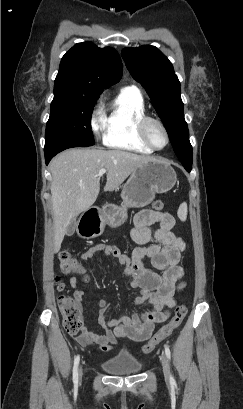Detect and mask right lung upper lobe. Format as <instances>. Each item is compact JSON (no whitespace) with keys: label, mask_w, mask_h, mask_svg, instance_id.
Returning a JSON list of instances; mask_svg holds the SVG:
<instances>
[{"label":"right lung upper lobe","mask_w":243,"mask_h":409,"mask_svg":"<svg viewBox=\"0 0 243 409\" xmlns=\"http://www.w3.org/2000/svg\"><path fill=\"white\" fill-rule=\"evenodd\" d=\"M121 77L122 62L114 48H99L91 42H82L62 57L54 88L99 97Z\"/></svg>","instance_id":"1"}]
</instances>
